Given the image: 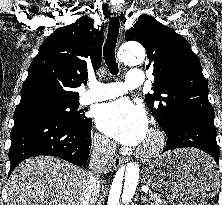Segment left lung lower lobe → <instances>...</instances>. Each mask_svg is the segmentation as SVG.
I'll return each instance as SVG.
<instances>
[{
	"instance_id": "1",
	"label": "left lung lower lobe",
	"mask_w": 222,
	"mask_h": 205,
	"mask_svg": "<svg viewBox=\"0 0 222 205\" xmlns=\"http://www.w3.org/2000/svg\"><path fill=\"white\" fill-rule=\"evenodd\" d=\"M166 135L168 140L165 151L193 147L208 153L219 164L214 117L198 113L186 114Z\"/></svg>"
}]
</instances>
